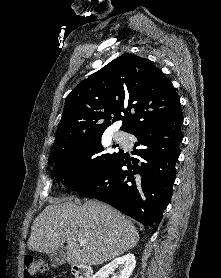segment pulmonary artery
Returning <instances> with one entry per match:
<instances>
[{"label": "pulmonary artery", "instance_id": "1", "mask_svg": "<svg viewBox=\"0 0 221 278\" xmlns=\"http://www.w3.org/2000/svg\"><path fill=\"white\" fill-rule=\"evenodd\" d=\"M116 140L119 141V142H121V141L123 140V135L118 133V134L116 135Z\"/></svg>", "mask_w": 221, "mask_h": 278}]
</instances>
